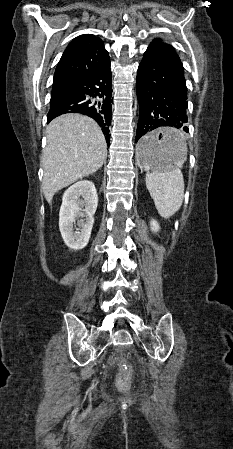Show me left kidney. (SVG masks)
Wrapping results in <instances>:
<instances>
[{"label":"left kidney","instance_id":"5707ae66","mask_svg":"<svg viewBox=\"0 0 233 449\" xmlns=\"http://www.w3.org/2000/svg\"><path fill=\"white\" fill-rule=\"evenodd\" d=\"M150 226H151V230L153 231V232H157V231H159V229H160V227H159V224L157 223V221H155V220H152L151 222H150Z\"/></svg>","mask_w":233,"mask_h":449}]
</instances>
